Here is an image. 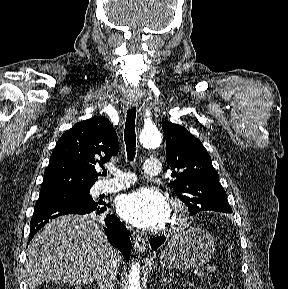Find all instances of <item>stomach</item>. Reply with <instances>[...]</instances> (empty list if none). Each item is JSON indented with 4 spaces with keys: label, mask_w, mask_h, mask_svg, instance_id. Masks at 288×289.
<instances>
[{
    "label": "stomach",
    "mask_w": 288,
    "mask_h": 289,
    "mask_svg": "<svg viewBox=\"0 0 288 289\" xmlns=\"http://www.w3.org/2000/svg\"><path fill=\"white\" fill-rule=\"evenodd\" d=\"M214 239L205 229L192 227L176 233L160 255L162 266L170 269H193L213 256Z\"/></svg>",
    "instance_id": "0dacf381"
}]
</instances>
